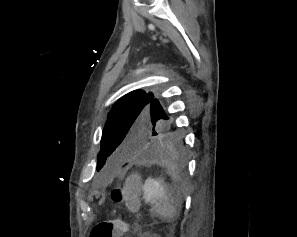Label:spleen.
<instances>
[{
	"instance_id": "obj_1",
	"label": "spleen",
	"mask_w": 297,
	"mask_h": 237,
	"mask_svg": "<svg viewBox=\"0 0 297 237\" xmlns=\"http://www.w3.org/2000/svg\"><path fill=\"white\" fill-rule=\"evenodd\" d=\"M144 197L153 204L157 215L171 222L177 216V208L172 192L161 181L148 178L143 185Z\"/></svg>"
}]
</instances>
